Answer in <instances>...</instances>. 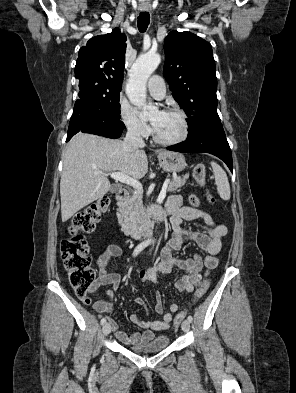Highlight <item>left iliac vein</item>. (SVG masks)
<instances>
[{
  "label": "left iliac vein",
  "mask_w": 296,
  "mask_h": 393,
  "mask_svg": "<svg viewBox=\"0 0 296 393\" xmlns=\"http://www.w3.org/2000/svg\"><path fill=\"white\" fill-rule=\"evenodd\" d=\"M181 327L184 332H188L190 329V322L188 320H184Z\"/></svg>",
  "instance_id": "obj_1"
}]
</instances>
